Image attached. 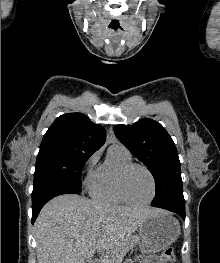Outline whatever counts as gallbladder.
<instances>
[{"mask_svg": "<svg viewBox=\"0 0 220 263\" xmlns=\"http://www.w3.org/2000/svg\"><path fill=\"white\" fill-rule=\"evenodd\" d=\"M85 263H91L90 261H86Z\"/></svg>", "mask_w": 220, "mask_h": 263, "instance_id": "gallbladder-1", "label": "gallbladder"}]
</instances>
